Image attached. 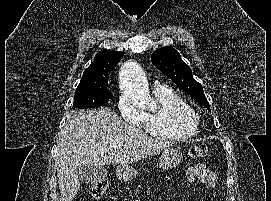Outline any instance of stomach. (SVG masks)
Listing matches in <instances>:
<instances>
[{
	"label": "stomach",
	"instance_id": "0dacf381",
	"mask_svg": "<svg viewBox=\"0 0 271 201\" xmlns=\"http://www.w3.org/2000/svg\"><path fill=\"white\" fill-rule=\"evenodd\" d=\"M182 158L181 150L178 147L171 146L162 151L159 165L163 170H168L180 164ZM117 175L124 181H130L138 175V171L128 165H119Z\"/></svg>",
	"mask_w": 271,
	"mask_h": 201
}]
</instances>
